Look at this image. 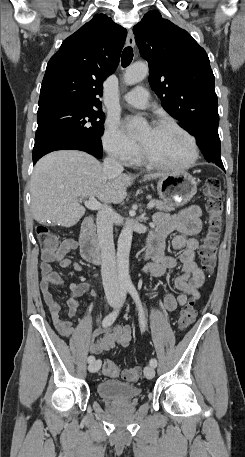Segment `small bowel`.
I'll return each mask as SVG.
<instances>
[{
    "mask_svg": "<svg viewBox=\"0 0 245 457\" xmlns=\"http://www.w3.org/2000/svg\"><path fill=\"white\" fill-rule=\"evenodd\" d=\"M155 228L148 239V252L152 259L145 271L155 277L164 276L166 271L177 267L178 259L164 254L165 239L170 233L177 232L172 238V247L182 250L179 261L182 263V274L175 280V286L179 293L166 294L163 305L168 311H174L187 303L188 297L199 298V288L204 282V274L195 261V252L199 246L198 236L202 229V210L193 205L177 214L158 213L154 217ZM77 241L74 239L64 240L57 252L53 255L42 254L41 291L44 301L49 308L51 318L58 332L69 339L71 345L79 350L92 354H101L117 345L126 347L132 339V328L128 325L106 326L98 328L93 334L86 327H75L71 320L61 317V307L50 291L51 285H64L60 274L54 272L51 262L56 260L62 268H72L82 271L80 263L67 258L66 255L76 249ZM70 297L67 300L69 318L76 314L79 299L87 292L92 297H99L95 290L90 289L86 282L70 284ZM97 336H100L96 339Z\"/></svg>",
    "mask_w": 245,
    "mask_h": 457,
    "instance_id": "c3829d8e",
    "label": "small bowel"
}]
</instances>
